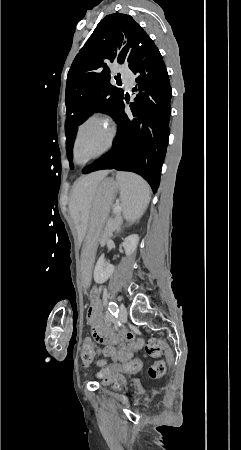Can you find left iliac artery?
<instances>
[{
  "label": "left iliac artery",
  "instance_id": "left-iliac-artery-1",
  "mask_svg": "<svg viewBox=\"0 0 241 450\" xmlns=\"http://www.w3.org/2000/svg\"><path fill=\"white\" fill-rule=\"evenodd\" d=\"M108 310L110 311V313L112 315H116V316H117V314L119 312L118 305L115 302H113V301L109 302Z\"/></svg>",
  "mask_w": 241,
  "mask_h": 450
}]
</instances>
